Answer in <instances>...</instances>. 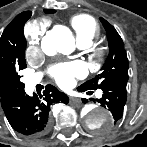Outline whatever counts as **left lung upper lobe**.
Listing matches in <instances>:
<instances>
[{
	"mask_svg": "<svg viewBox=\"0 0 147 147\" xmlns=\"http://www.w3.org/2000/svg\"><path fill=\"white\" fill-rule=\"evenodd\" d=\"M100 21L107 33L109 55L102 67V72L79 86L85 90L101 89L104 85L112 82L128 81V59L123 41L110 23L103 18H100Z\"/></svg>",
	"mask_w": 147,
	"mask_h": 147,
	"instance_id": "5c2ea615",
	"label": "left lung upper lobe"
}]
</instances>
